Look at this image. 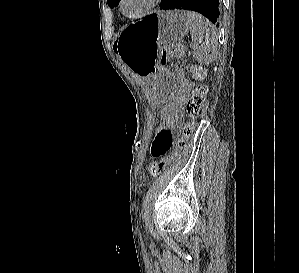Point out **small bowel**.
Returning a JSON list of instances; mask_svg holds the SVG:
<instances>
[{"mask_svg":"<svg viewBox=\"0 0 299 273\" xmlns=\"http://www.w3.org/2000/svg\"><path fill=\"white\" fill-rule=\"evenodd\" d=\"M179 128L180 123L178 121H174L158 130L151 146V154L153 157H161L173 147L175 135Z\"/></svg>","mask_w":299,"mask_h":273,"instance_id":"1","label":"small bowel"}]
</instances>
